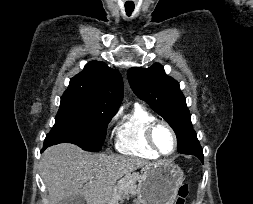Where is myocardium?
Wrapping results in <instances>:
<instances>
[{
  "label": "myocardium",
  "mask_w": 253,
  "mask_h": 204,
  "mask_svg": "<svg viewBox=\"0 0 253 204\" xmlns=\"http://www.w3.org/2000/svg\"><path fill=\"white\" fill-rule=\"evenodd\" d=\"M162 125L164 127H166L168 129V131L171 133L172 138H173V142H174V146L173 149L170 153H163L158 146L156 145L155 141H154V131L156 129L157 126ZM146 141L149 145V147L155 152L157 153L159 156H163V157H170L172 156L178 148V138L176 135L175 130L173 129V127L165 120H160V119H155L154 121H152L146 129Z\"/></svg>",
  "instance_id": "obj_1"
}]
</instances>
